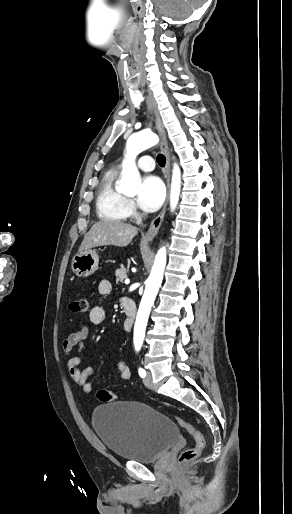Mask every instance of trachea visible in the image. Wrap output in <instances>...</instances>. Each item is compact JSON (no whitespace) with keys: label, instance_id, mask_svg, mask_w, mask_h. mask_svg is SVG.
I'll list each match as a JSON object with an SVG mask.
<instances>
[{"label":"trachea","instance_id":"1","mask_svg":"<svg viewBox=\"0 0 292 514\" xmlns=\"http://www.w3.org/2000/svg\"><path fill=\"white\" fill-rule=\"evenodd\" d=\"M157 163L160 165V167H164L165 166V163H166V158L164 157L163 154L159 153L157 155Z\"/></svg>","mask_w":292,"mask_h":514}]
</instances>
